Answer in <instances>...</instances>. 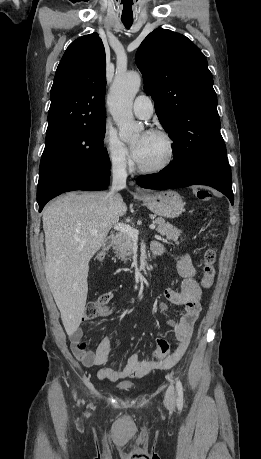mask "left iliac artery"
Segmentation results:
<instances>
[{"instance_id":"44dca946","label":"left iliac artery","mask_w":261,"mask_h":459,"mask_svg":"<svg viewBox=\"0 0 261 459\" xmlns=\"http://www.w3.org/2000/svg\"><path fill=\"white\" fill-rule=\"evenodd\" d=\"M176 401L179 408L183 407V387L180 380L176 381Z\"/></svg>"}]
</instances>
